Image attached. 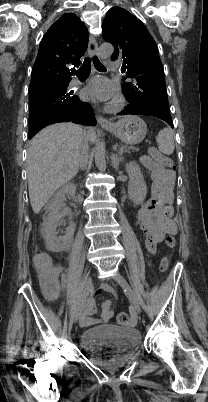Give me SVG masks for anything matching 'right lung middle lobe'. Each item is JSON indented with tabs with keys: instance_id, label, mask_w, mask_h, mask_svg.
Masks as SVG:
<instances>
[{
	"instance_id": "right-lung-middle-lobe-1",
	"label": "right lung middle lobe",
	"mask_w": 208,
	"mask_h": 402,
	"mask_svg": "<svg viewBox=\"0 0 208 402\" xmlns=\"http://www.w3.org/2000/svg\"><path fill=\"white\" fill-rule=\"evenodd\" d=\"M70 80L44 82L29 89V120L75 108L80 100L73 95V91L67 90Z\"/></svg>"
}]
</instances>
